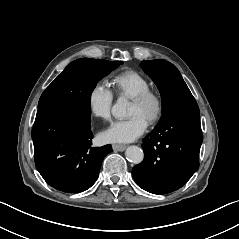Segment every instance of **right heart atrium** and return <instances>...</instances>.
I'll use <instances>...</instances> for the list:
<instances>
[{"instance_id":"obj_1","label":"right heart atrium","mask_w":239,"mask_h":239,"mask_svg":"<svg viewBox=\"0 0 239 239\" xmlns=\"http://www.w3.org/2000/svg\"><path fill=\"white\" fill-rule=\"evenodd\" d=\"M114 101V93L102 82L93 84L87 93L89 112L96 118H108Z\"/></svg>"}]
</instances>
